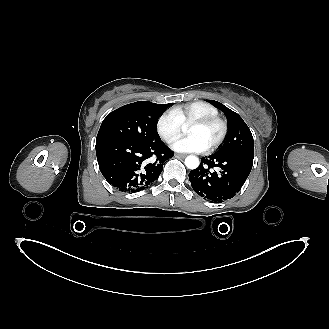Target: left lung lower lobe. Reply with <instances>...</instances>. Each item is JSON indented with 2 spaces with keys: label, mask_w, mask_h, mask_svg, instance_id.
Wrapping results in <instances>:
<instances>
[{
  "label": "left lung lower lobe",
  "mask_w": 329,
  "mask_h": 329,
  "mask_svg": "<svg viewBox=\"0 0 329 329\" xmlns=\"http://www.w3.org/2000/svg\"><path fill=\"white\" fill-rule=\"evenodd\" d=\"M253 158L221 153L203 157L199 167L189 173L191 186L199 196L212 202L231 199L249 176Z\"/></svg>",
  "instance_id": "left-lung-lower-lobe-1"
}]
</instances>
